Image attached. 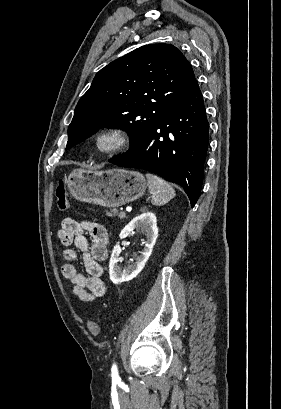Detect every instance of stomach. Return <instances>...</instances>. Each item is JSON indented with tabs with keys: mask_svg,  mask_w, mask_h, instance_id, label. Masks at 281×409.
<instances>
[{
	"mask_svg": "<svg viewBox=\"0 0 281 409\" xmlns=\"http://www.w3.org/2000/svg\"><path fill=\"white\" fill-rule=\"evenodd\" d=\"M69 192L81 202H92L100 207H122L142 196L147 182L136 170L110 168L86 170L74 168L67 180Z\"/></svg>",
	"mask_w": 281,
	"mask_h": 409,
	"instance_id": "0dacf381",
	"label": "stomach"
}]
</instances>
